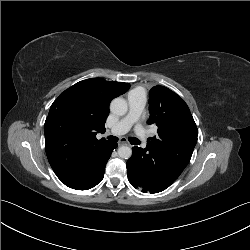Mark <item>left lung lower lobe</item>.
Here are the masks:
<instances>
[{"mask_svg": "<svg viewBox=\"0 0 250 250\" xmlns=\"http://www.w3.org/2000/svg\"><path fill=\"white\" fill-rule=\"evenodd\" d=\"M127 161L130 184L142 192L158 193L169 187L182 173L190 161L188 156L175 154V147H133Z\"/></svg>", "mask_w": 250, "mask_h": 250, "instance_id": "0a47b994", "label": "left lung lower lobe"}]
</instances>
